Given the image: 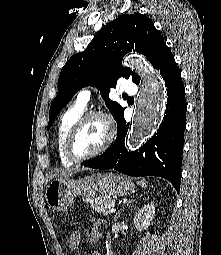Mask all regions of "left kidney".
Returning <instances> with one entry per match:
<instances>
[{"instance_id": "1", "label": "left kidney", "mask_w": 221, "mask_h": 255, "mask_svg": "<svg viewBox=\"0 0 221 255\" xmlns=\"http://www.w3.org/2000/svg\"><path fill=\"white\" fill-rule=\"evenodd\" d=\"M155 216V206L153 203L144 205L134 217V225L137 230H146Z\"/></svg>"}]
</instances>
